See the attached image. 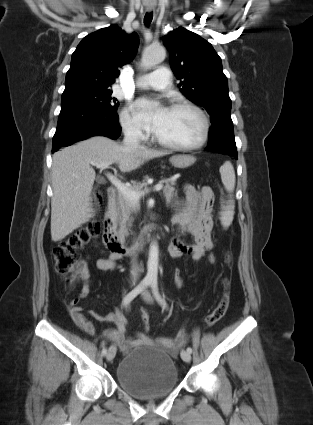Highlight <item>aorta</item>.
Here are the masks:
<instances>
[{"mask_svg": "<svg viewBox=\"0 0 313 425\" xmlns=\"http://www.w3.org/2000/svg\"><path fill=\"white\" fill-rule=\"evenodd\" d=\"M166 57V51L163 47H150L142 55L141 66L144 69H150L156 64L161 63ZM158 257L159 248L156 242H152L149 248V257L147 263V278L156 280L158 276Z\"/></svg>", "mask_w": 313, "mask_h": 425, "instance_id": "aorta-1", "label": "aorta"}]
</instances>
